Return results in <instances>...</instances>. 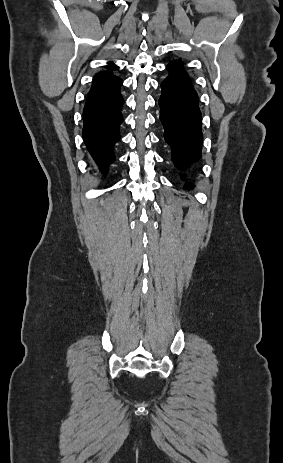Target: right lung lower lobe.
Segmentation results:
<instances>
[{
    "label": "right lung lower lobe",
    "instance_id": "1",
    "mask_svg": "<svg viewBox=\"0 0 283 463\" xmlns=\"http://www.w3.org/2000/svg\"><path fill=\"white\" fill-rule=\"evenodd\" d=\"M123 81L119 77L93 85L84 107V142L103 172L114 162L113 146L120 139L119 126L123 121L120 94Z\"/></svg>",
    "mask_w": 283,
    "mask_h": 463
}]
</instances>
